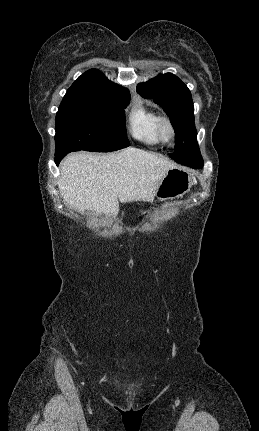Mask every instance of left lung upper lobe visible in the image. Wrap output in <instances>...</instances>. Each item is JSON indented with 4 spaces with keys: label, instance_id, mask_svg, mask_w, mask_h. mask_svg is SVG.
Instances as JSON below:
<instances>
[{
    "label": "left lung upper lobe",
    "instance_id": "1",
    "mask_svg": "<svg viewBox=\"0 0 259 431\" xmlns=\"http://www.w3.org/2000/svg\"><path fill=\"white\" fill-rule=\"evenodd\" d=\"M137 92L162 106L174 127L175 152L170 157L178 163L196 167L203 161L197 144L194 106L187 86L175 75L166 73L140 83Z\"/></svg>",
    "mask_w": 259,
    "mask_h": 431
}]
</instances>
